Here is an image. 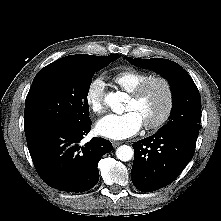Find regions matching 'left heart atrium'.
<instances>
[{"instance_id":"left-heart-atrium-1","label":"left heart atrium","mask_w":221,"mask_h":221,"mask_svg":"<svg viewBox=\"0 0 221 221\" xmlns=\"http://www.w3.org/2000/svg\"><path fill=\"white\" fill-rule=\"evenodd\" d=\"M143 123L134 111L123 114H109L96 123V132L105 138L121 140L135 135Z\"/></svg>"}]
</instances>
